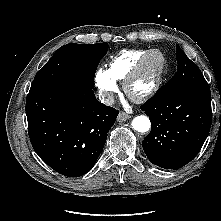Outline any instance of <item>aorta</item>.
I'll use <instances>...</instances> for the list:
<instances>
[{
  "mask_svg": "<svg viewBox=\"0 0 221 221\" xmlns=\"http://www.w3.org/2000/svg\"><path fill=\"white\" fill-rule=\"evenodd\" d=\"M150 126V120L145 115L137 116L132 121V127L140 133L147 132L150 129Z\"/></svg>",
  "mask_w": 221,
  "mask_h": 221,
  "instance_id": "obj_1",
  "label": "aorta"
}]
</instances>
